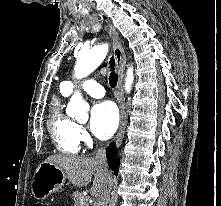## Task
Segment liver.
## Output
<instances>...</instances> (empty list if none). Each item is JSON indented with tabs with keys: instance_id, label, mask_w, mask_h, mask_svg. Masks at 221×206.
<instances>
[{
	"instance_id": "obj_1",
	"label": "liver",
	"mask_w": 221,
	"mask_h": 206,
	"mask_svg": "<svg viewBox=\"0 0 221 206\" xmlns=\"http://www.w3.org/2000/svg\"><path fill=\"white\" fill-rule=\"evenodd\" d=\"M46 161L61 168L69 181L77 187L88 185L94 175L90 192L94 197L101 194L106 175L95 159L74 155H52Z\"/></svg>"
}]
</instances>
